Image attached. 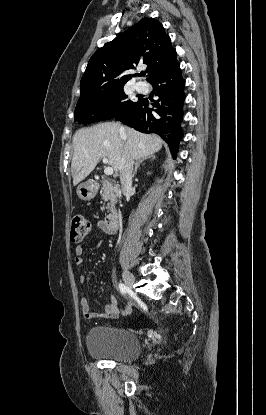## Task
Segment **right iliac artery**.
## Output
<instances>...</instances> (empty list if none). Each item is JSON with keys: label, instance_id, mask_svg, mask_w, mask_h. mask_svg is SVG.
<instances>
[{"label": "right iliac artery", "instance_id": "1", "mask_svg": "<svg viewBox=\"0 0 266 415\" xmlns=\"http://www.w3.org/2000/svg\"><path fill=\"white\" fill-rule=\"evenodd\" d=\"M119 290H120L123 294H126V293L128 292V290H129V288H128L125 284L120 283V284H119Z\"/></svg>", "mask_w": 266, "mask_h": 415}]
</instances>
